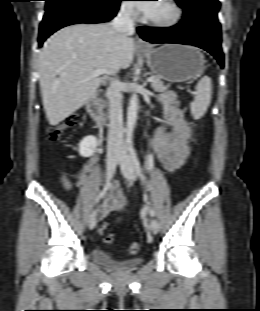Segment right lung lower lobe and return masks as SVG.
Listing matches in <instances>:
<instances>
[{
	"instance_id": "right-lung-lower-lobe-1",
	"label": "right lung lower lobe",
	"mask_w": 260,
	"mask_h": 311,
	"mask_svg": "<svg viewBox=\"0 0 260 311\" xmlns=\"http://www.w3.org/2000/svg\"><path fill=\"white\" fill-rule=\"evenodd\" d=\"M46 13L40 25L39 46L58 29L78 23H103L117 13L121 0H45Z\"/></svg>"
}]
</instances>
